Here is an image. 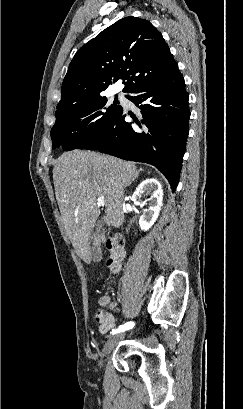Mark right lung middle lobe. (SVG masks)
I'll use <instances>...</instances> for the list:
<instances>
[{"instance_id":"1","label":"right lung middle lobe","mask_w":243,"mask_h":409,"mask_svg":"<svg viewBox=\"0 0 243 409\" xmlns=\"http://www.w3.org/2000/svg\"><path fill=\"white\" fill-rule=\"evenodd\" d=\"M117 97L111 106L105 97H95L57 109L55 125L51 129L53 148L75 149L87 136L107 127L121 109Z\"/></svg>"}]
</instances>
